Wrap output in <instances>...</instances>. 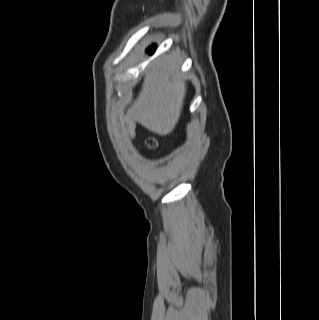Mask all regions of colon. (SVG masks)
I'll return each mask as SVG.
<instances>
[{"label":"colon","instance_id":"obj_1","mask_svg":"<svg viewBox=\"0 0 319 320\" xmlns=\"http://www.w3.org/2000/svg\"><path fill=\"white\" fill-rule=\"evenodd\" d=\"M147 146L149 148H156L158 146V142H157L156 139L150 138V139L147 140Z\"/></svg>","mask_w":319,"mask_h":320}]
</instances>
